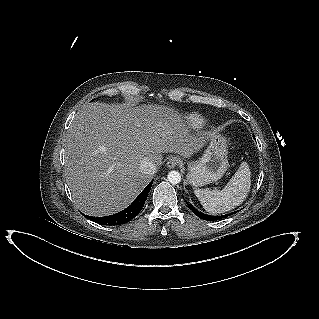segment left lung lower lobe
I'll return each mask as SVG.
<instances>
[{
  "instance_id": "obj_1",
  "label": "left lung lower lobe",
  "mask_w": 319,
  "mask_h": 319,
  "mask_svg": "<svg viewBox=\"0 0 319 319\" xmlns=\"http://www.w3.org/2000/svg\"><path fill=\"white\" fill-rule=\"evenodd\" d=\"M188 207L192 210V212L196 216H198V217H200L201 219H204V220H217V219H222V218H225V217L229 216V214H226V215H223V216H209V215H206V214H203V213L199 212L191 204H188Z\"/></svg>"
}]
</instances>
